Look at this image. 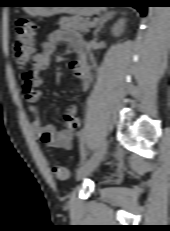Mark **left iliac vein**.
<instances>
[{
    "label": "left iliac vein",
    "instance_id": "4c4485c4",
    "mask_svg": "<svg viewBox=\"0 0 170 231\" xmlns=\"http://www.w3.org/2000/svg\"><path fill=\"white\" fill-rule=\"evenodd\" d=\"M108 146L109 141L103 140L97 151L91 156V158L77 169V180L84 179L97 168V166L107 153Z\"/></svg>",
    "mask_w": 170,
    "mask_h": 231
}]
</instances>
